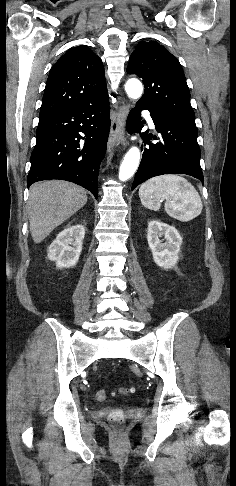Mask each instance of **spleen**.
<instances>
[{
	"mask_svg": "<svg viewBox=\"0 0 236 486\" xmlns=\"http://www.w3.org/2000/svg\"><path fill=\"white\" fill-rule=\"evenodd\" d=\"M142 205L158 211L165 200L166 212L180 221L187 222L202 212L203 204L194 186L179 175L168 174L149 179L140 186Z\"/></svg>",
	"mask_w": 236,
	"mask_h": 486,
	"instance_id": "3e777b00",
	"label": "spleen"
}]
</instances>
